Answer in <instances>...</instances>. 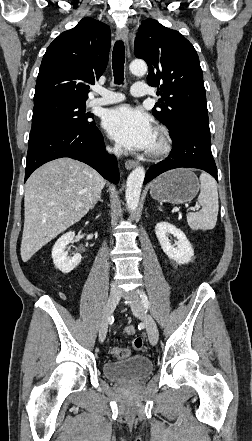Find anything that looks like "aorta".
Here are the masks:
<instances>
[{
	"label": "aorta",
	"instance_id": "aorta-1",
	"mask_svg": "<svg viewBox=\"0 0 252 441\" xmlns=\"http://www.w3.org/2000/svg\"><path fill=\"white\" fill-rule=\"evenodd\" d=\"M129 69L134 75H144L147 72V64L143 60H133ZM144 178L145 169L142 166L136 167L127 178L125 198L130 212L138 208Z\"/></svg>",
	"mask_w": 252,
	"mask_h": 441
}]
</instances>
